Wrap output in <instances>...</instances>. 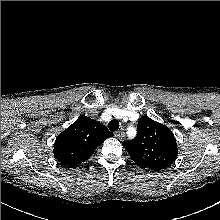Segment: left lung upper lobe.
Listing matches in <instances>:
<instances>
[{
  "instance_id": "1",
  "label": "left lung upper lobe",
  "mask_w": 220,
  "mask_h": 220,
  "mask_svg": "<svg viewBox=\"0 0 220 220\" xmlns=\"http://www.w3.org/2000/svg\"><path fill=\"white\" fill-rule=\"evenodd\" d=\"M123 146L135 163L153 171L170 166L178 154L176 139L171 130L148 116L140 118L137 136L124 141Z\"/></svg>"
}]
</instances>
